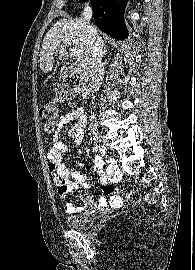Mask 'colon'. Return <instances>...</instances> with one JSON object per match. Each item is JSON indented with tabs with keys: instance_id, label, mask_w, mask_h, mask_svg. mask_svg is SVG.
I'll use <instances>...</instances> for the list:
<instances>
[{
	"instance_id": "colon-1",
	"label": "colon",
	"mask_w": 195,
	"mask_h": 270,
	"mask_svg": "<svg viewBox=\"0 0 195 270\" xmlns=\"http://www.w3.org/2000/svg\"><path fill=\"white\" fill-rule=\"evenodd\" d=\"M81 88V81L77 77H64L57 86L55 98L43 103L39 108V114L46 119L43 128L48 135H53L56 131L55 120L59 115L58 102L74 97ZM128 204L137 205L141 202L142 196L136 190H129L125 195ZM148 203L153 202L151 196H146Z\"/></svg>"
}]
</instances>
